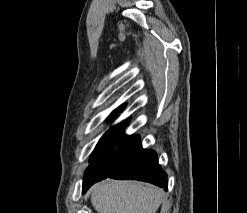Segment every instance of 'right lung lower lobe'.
I'll list each match as a JSON object with an SVG mask.
<instances>
[{
    "label": "right lung lower lobe",
    "instance_id": "1",
    "mask_svg": "<svg viewBox=\"0 0 247 213\" xmlns=\"http://www.w3.org/2000/svg\"><path fill=\"white\" fill-rule=\"evenodd\" d=\"M98 170V175L84 184L83 192L107 177L145 181L167 190V174L161 169L157 154L143 149L135 135L122 133L112 151L99 163Z\"/></svg>",
    "mask_w": 247,
    "mask_h": 213
}]
</instances>
